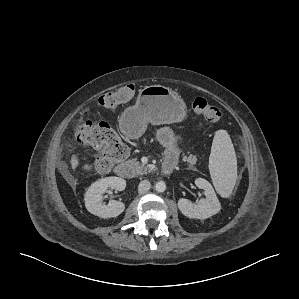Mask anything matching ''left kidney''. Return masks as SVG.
Returning <instances> with one entry per match:
<instances>
[{
	"label": "left kidney",
	"mask_w": 299,
	"mask_h": 299,
	"mask_svg": "<svg viewBox=\"0 0 299 299\" xmlns=\"http://www.w3.org/2000/svg\"><path fill=\"white\" fill-rule=\"evenodd\" d=\"M195 184L205 191L206 198L200 200L197 204H193L188 199L180 198L178 208L181 213L193 219H206L217 214L221 209V205L212 185L203 178H197Z\"/></svg>",
	"instance_id": "left-kidney-1"
}]
</instances>
